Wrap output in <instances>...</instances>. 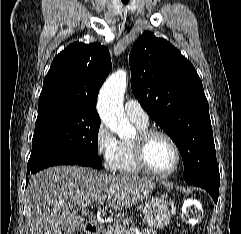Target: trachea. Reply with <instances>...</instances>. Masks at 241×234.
<instances>
[{
    "mask_svg": "<svg viewBox=\"0 0 241 234\" xmlns=\"http://www.w3.org/2000/svg\"><path fill=\"white\" fill-rule=\"evenodd\" d=\"M124 3H127L129 0H122Z\"/></svg>",
    "mask_w": 241,
    "mask_h": 234,
    "instance_id": "trachea-1",
    "label": "trachea"
}]
</instances>
